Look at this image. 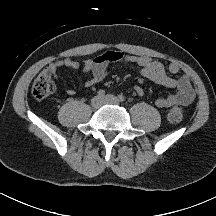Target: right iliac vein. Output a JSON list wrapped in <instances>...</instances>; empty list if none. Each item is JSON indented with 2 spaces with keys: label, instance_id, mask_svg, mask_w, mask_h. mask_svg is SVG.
<instances>
[{
  "label": "right iliac vein",
  "instance_id": "right-iliac-vein-1",
  "mask_svg": "<svg viewBox=\"0 0 216 216\" xmlns=\"http://www.w3.org/2000/svg\"><path fill=\"white\" fill-rule=\"evenodd\" d=\"M102 103H103V100H102V98L99 97V96H96V97H94V98L91 100V105H92V107L95 108V109L100 108L101 105H102Z\"/></svg>",
  "mask_w": 216,
  "mask_h": 216
}]
</instances>
